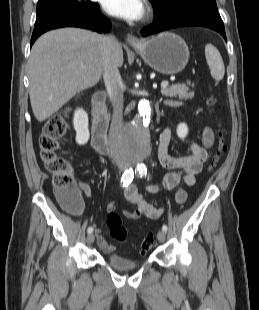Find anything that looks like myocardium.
Returning <instances> with one entry per match:
<instances>
[{"mask_svg": "<svg viewBox=\"0 0 259 310\" xmlns=\"http://www.w3.org/2000/svg\"><path fill=\"white\" fill-rule=\"evenodd\" d=\"M152 15V11L151 9L148 10L147 14H146V19H149Z\"/></svg>", "mask_w": 259, "mask_h": 310, "instance_id": "1", "label": "myocardium"}]
</instances>
